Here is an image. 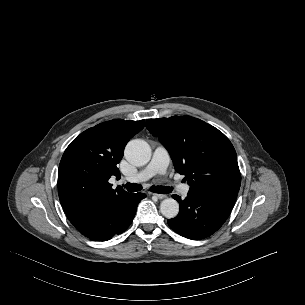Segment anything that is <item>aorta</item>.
Returning <instances> with one entry per match:
<instances>
[{"instance_id":"obj_1","label":"aorta","mask_w":305,"mask_h":305,"mask_svg":"<svg viewBox=\"0 0 305 305\" xmlns=\"http://www.w3.org/2000/svg\"><path fill=\"white\" fill-rule=\"evenodd\" d=\"M125 158L132 165L143 166L147 164L151 158L150 146L140 139L131 140L126 145ZM160 212L166 218H174L179 213V204L172 198H166L160 204Z\"/></svg>"}]
</instances>
